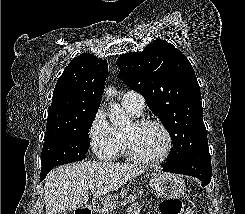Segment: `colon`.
<instances>
[{
  "label": "colon",
  "instance_id": "1",
  "mask_svg": "<svg viewBox=\"0 0 245 214\" xmlns=\"http://www.w3.org/2000/svg\"><path fill=\"white\" fill-rule=\"evenodd\" d=\"M161 214H195L191 208L183 209L182 203L179 199H166L160 204ZM86 214H90L87 212Z\"/></svg>",
  "mask_w": 245,
  "mask_h": 214
}]
</instances>
